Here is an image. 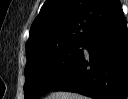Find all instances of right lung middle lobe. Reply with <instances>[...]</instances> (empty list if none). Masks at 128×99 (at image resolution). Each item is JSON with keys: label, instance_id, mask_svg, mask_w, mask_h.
Masks as SVG:
<instances>
[{"label": "right lung middle lobe", "instance_id": "obj_1", "mask_svg": "<svg viewBox=\"0 0 128 99\" xmlns=\"http://www.w3.org/2000/svg\"><path fill=\"white\" fill-rule=\"evenodd\" d=\"M83 42H76L27 58L25 73V99L37 97L51 91L78 64Z\"/></svg>", "mask_w": 128, "mask_h": 99}]
</instances>
